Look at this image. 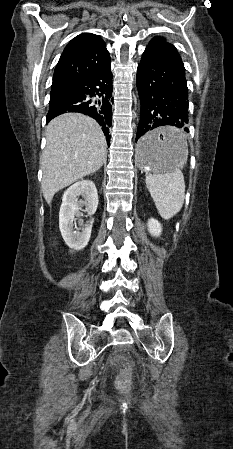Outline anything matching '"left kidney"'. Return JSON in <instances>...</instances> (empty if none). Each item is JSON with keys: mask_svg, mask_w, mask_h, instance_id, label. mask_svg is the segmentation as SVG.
I'll return each mask as SVG.
<instances>
[{"mask_svg": "<svg viewBox=\"0 0 233 449\" xmlns=\"http://www.w3.org/2000/svg\"><path fill=\"white\" fill-rule=\"evenodd\" d=\"M147 226H148V231L150 232V234L152 236H155V237L160 236V234L162 232V226L158 220H156L154 218L149 219Z\"/></svg>", "mask_w": 233, "mask_h": 449, "instance_id": "1", "label": "left kidney"}]
</instances>
